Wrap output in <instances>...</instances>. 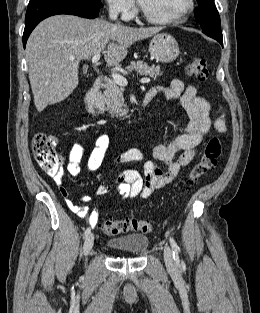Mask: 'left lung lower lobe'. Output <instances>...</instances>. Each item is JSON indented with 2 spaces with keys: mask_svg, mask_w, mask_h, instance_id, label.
Instances as JSON below:
<instances>
[{
  "mask_svg": "<svg viewBox=\"0 0 260 313\" xmlns=\"http://www.w3.org/2000/svg\"><path fill=\"white\" fill-rule=\"evenodd\" d=\"M212 38L216 39L223 46L222 38H218V37H212Z\"/></svg>",
  "mask_w": 260,
  "mask_h": 313,
  "instance_id": "1",
  "label": "left lung lower lobe"
}]
</instances>
